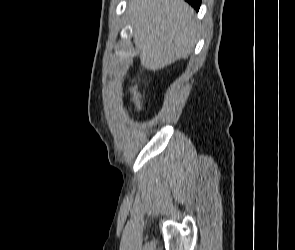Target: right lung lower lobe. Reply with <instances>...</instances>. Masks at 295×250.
<instances>
[{
	"mask_svg": "<svg viewBox=\"0 0 295 250\" xmlns=\"http://www.w3.org/2000/svg\"><path fill=\"white\" fill-rule=\"evenodd\" d=\"M188 3H190L197 11L200 8L201 0H186Z\"/></svg>",
	"mask_w": 295,
	"mask_h": 250,
	"instance_id": "1",
	"label": "right lung lower lobe"
}]
</instances>
